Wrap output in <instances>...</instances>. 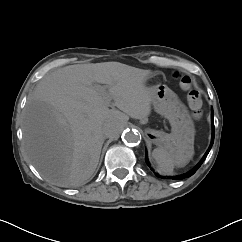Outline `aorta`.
<instances>
[{"mask_svg":"<svg viewBox=\"0 0 242 242\" xmlns=\"http://www.w3.org/2000/svg\"><path fill=\"white\" fill-rule=\"evenodd\" d=\"M122 139L125 143L137 144L140 142L141 136L137 131L126 130L122 135Z\"/></svg>","mask_w":242,"mask_h":242,"instance_id":"obj_1","label":"aorta"}]
</instances>
